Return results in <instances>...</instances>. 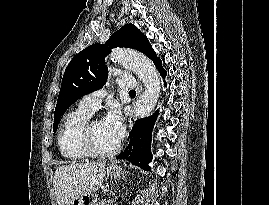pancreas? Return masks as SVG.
<instances>
[{
    "label": "pancreas",
    "mask_w": 269,
    "mask_h": 205,
    "mask_svg": "<svg viewBox=\"0 0 269 205\" xmlns=\"http://www.w3.org/2000/svg\"><path fill=\"white\" fill-rule=\"evenodd\" d=\"M96 205H106L105 202H99Z\"/></svg>",
    "instance_id": "cf45deb5"
}]
</instances>
